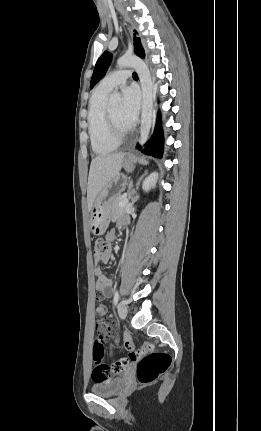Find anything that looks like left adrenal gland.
Returning a JSON list of instances; mask_svg holds the SVG:
<instances>
[{"instance_id":"a2214340","label":"left adrenal gland","mask_w":261,"mask_h":431,"mask_svg":"<svg viewBox=\"0 0 261 431\" xmlns=\"http://www.w3.org/2000/svg\"><path fill=\"white\" fill-rule=\"evenodd\" d=\"M139 184V182L137 183V185ZM132 187H133V185H132V182H131V184L129 185V191H130V195H134L135 194V190L134 189H132ZM136 201V198H133L132 197V202L134 203Z\"/></svg>"}]
</instances>
